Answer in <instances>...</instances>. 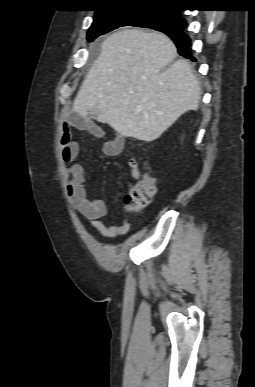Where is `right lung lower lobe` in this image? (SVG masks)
I'll return each instance as SVG.
<instances>
[{
    "label": "right lung lower lobe",
    "instance_id": "obj_1",
    "mask_svg": "<svg viewBox=\"0 0 255 387\" xmlns=\"http://www.w3.org/2000/svg\"><path fill=\"white\" fill-rule=\"evenodd\" d=\"M185 28L177 30H164L163 33L167 34L176 44L178 52L181 56L196 61L191 55V43L190 38L184 33Z\"/></svg>",
    "mask_w": 255,
    "mask_h": 387
}]
</instances>
